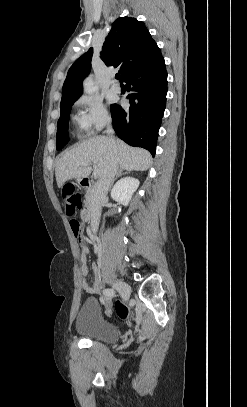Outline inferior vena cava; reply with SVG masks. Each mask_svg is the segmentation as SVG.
I'll return each instance as SVG.
<instances>
[{
	"label": "inferior vena cava",
	"mask_w": 247,
	"mask_h": 407,
	"mask_svg": "<svg viewBox=\"0 0 247 407\" xmlns=\"http://www.w3.org/2000/svg\"><path fill=\"white\" fill-rule=\"evenodd\" d=\"M106 132L109 136V141L114 144L115 140L112 136L114 131L111 127V124H108ZM117 170L118 162L115 155L112 154L110 156L106 170L99 177L93 189V195L90 205L91 222L88 229V232L92 238H94L97 234L101 216V205L103 200L106 198L115 174H117Z\"/></svg>",
	"instance_id": "1"
}]
</instances>
